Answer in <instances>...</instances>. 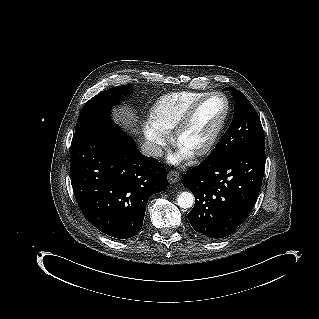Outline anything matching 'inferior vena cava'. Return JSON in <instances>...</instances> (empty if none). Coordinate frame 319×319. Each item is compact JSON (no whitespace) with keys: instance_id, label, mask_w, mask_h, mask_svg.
Listing matches in <instances>:
<instances>
[{"instance_id":"602c4592","label":"inferior vena cava","mask_w":319,"mask_h":319,"mask_svg":"<svg viewBox=\"0 0 319 319\" xmlns=\"http://www.w3.org/2000/svg\"><path fill=\"white\" fill-rule=\"evenodd\" d=\"M141 151L144 155L148 156V157H162L163 155V150L162 147L152 143V142H144L141 146Z\"/></svg>"}]
</instances>
